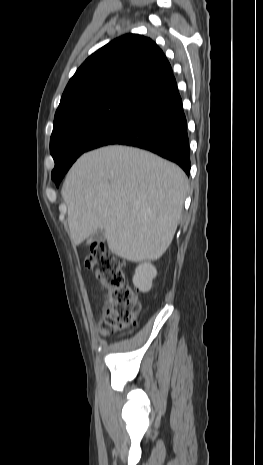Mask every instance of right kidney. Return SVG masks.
<instances>
[{
	"label": "right kidney",
	"instance_id": "right-kidney-1",
	"mask_svg": "<svg viewBox=\"0 0 263 465\" xmlns=\"http://www.w3.org/2000/svg\"><path fill=\"white\" fill-rule=\"evenodd\" d=\"M157 275L156 268L150 263L140 264L133 276V284L142 292H147L152 287V281Z\"/></svg>",
	"mask_w": 263,
	"mask_h": 465
}]
</instances>
